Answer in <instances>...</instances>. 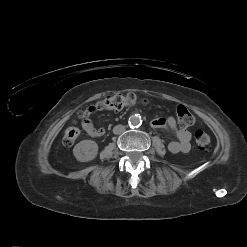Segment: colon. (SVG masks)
I'll return each mask as SVG.
<instances>
[{
    "label": "colon",
    "mask_w": 247,
    "mask_h": 247,
    "mask_svg": "<svg viewBox=\"0 0 247 247\" xmlns=\"http://www.w3.org/2000/svg\"><path fill=\"white\" fill-rule=\"evenodd\" d=\"M145 100L138 98L134 93L127 94H113L109 95L89 109L81 111L79 116L84 118L89 115L90 112L96 110H121L126 107H132L137 104H143ZM177 119L182 127H189L194 124V115L183 105H179L176 109ZM80 136V130L76 127H69L65 130L63 136V144L66 146L73 145ZM195 142L200 150H207L211 144V138L209 134L203 130H198L195 133Z\"/></svg>",
    "instance_id": "5ec220e1"
}]
</instances>
